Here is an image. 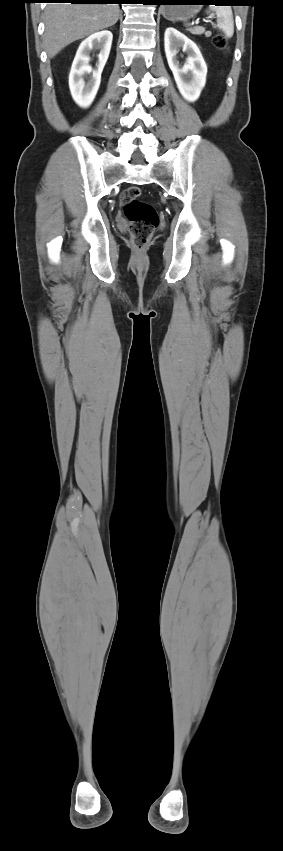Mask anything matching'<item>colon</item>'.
I'll return each mask as SVG.
<instances>
[{"label": "colon", "mask_w": 283, "mask_h": 851, "mask_svg": "<svg viewBox=\"0 0 283 851\" xmlns=\"http://www.w3.org/2000/svg\"><path fill=\"white\" fill-rule=\"evenodd\" d=\"M214 45L225 50L227 41L219 34L214 37ZM140 195L141 189L137 186L126 188L120 195V204L130 222L132 242L137 249H142L147 244L159 221L155 208L150 203L139 200Z\"/></svg>", "instance_id": "obj_1"}]
</instances>
